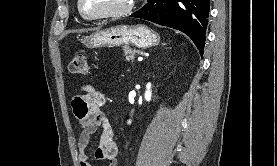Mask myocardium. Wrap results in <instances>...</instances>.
Segmentation results:
<instances>
[{
  "label": "myocardium",
  "instance_id": "obj_1",
  "mask_svg": "<svg viewBox=\"0 0 277 166\" xmlns=\"http://www.w3.org/2000/svg\"><path fill=\"white\" fill-rule=\"evenodd\" d=\"M136 0H129L125 7L119 10L107 11L102 13H89L83 8V0H78V10L82 16L88 19H117L127 16L134 8Z\"/></svg>",
  "mask_w": 277,
  "mask_h": 166
}]
</instances>
